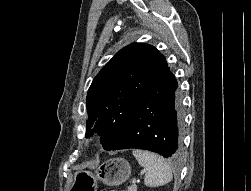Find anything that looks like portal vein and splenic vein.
I'll list each match as a JSON object with an SVG mask.
<instances>
[{
  "mask_svg": "<svg viewBox=\"0 0 251 191\" xmlns=\"http://www.w3.org/2000/svg\"><path fill=\"white\" fill-rule=\"evenodd\" d=\"M136 179H132V183H135ZM137 181H139V179H137Z\"/></svg>",
  "mask_w": 251,
  "mask_h": 191,
  "instance_id": "obj_1",
  "label": "portal vein and splenic vein"
}]
</instances>
